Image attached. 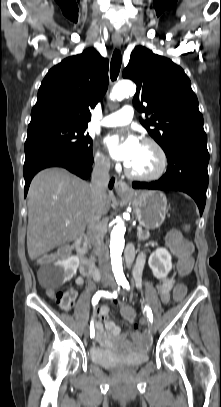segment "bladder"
Instances as JSON below:
<instances>
[{"label": "bladder", "instance_id": "bladder-1", "mask_svg": "<svg viewBox=\"0 0 221 407\" xmlns=\"http://www.w3.org/2000/svg\"><path fill=\"white\" fill-rule=\"evenodd\" d=\"M89 354L93 364L108 369L136 368L148 360L144 351L126 353L123 350L91 347Z\"/></svg>", "mask_w": 221, "mask_h": 407}]
</instances>
